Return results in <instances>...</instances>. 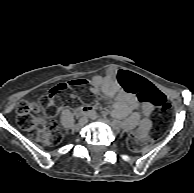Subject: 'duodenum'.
I'll use <instances>...</instances> for the list:
<instances>
[{"instance_id":"obj_1","label":"duodenum","mask_w":194,"mask_h":193,"mask_svg":"<svg viewBox=\"0 0 194 193\" xmlns=\"http://www.w3.org/2000/svg\"><path fill=\"white\" fill-rule=\"evenodd\" d=\"M87 115H90V116H96V113L92 110L86 112Z\"/></svg>"}]
</instances>
